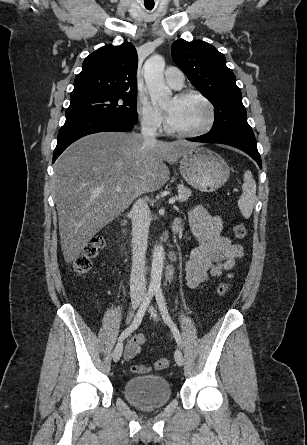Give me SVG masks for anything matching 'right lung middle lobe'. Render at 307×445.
Returning <instances> with one entry per match:
<instances>
[{
  "label": "right lung middle lobe",
  "mask_w": 307,
  "mask_h": 445,
  "mask_svg": "<svg viewBox=\"0 0 307 445\" xmlns=\"http://www.w3.org/2000/svg\"><path fill=\"white\" fill-rule=\"evenodd\" d=\"M66 118L82 115H104L137 122V93L94 94L70 98Z\"/></svg>",
  "instance_id": "dd1d6c3e"
}]
</instances>
